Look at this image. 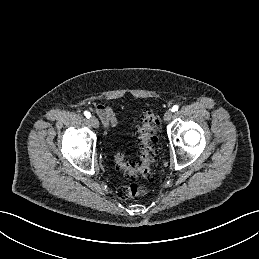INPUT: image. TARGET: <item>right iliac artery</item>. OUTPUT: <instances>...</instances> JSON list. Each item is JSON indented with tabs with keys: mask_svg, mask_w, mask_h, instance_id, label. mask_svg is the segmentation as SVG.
<instances>
[{
	"mask_svg": "<svg viewBox=\"0 0 259 259\" xmlns=\"http://www.w3.org/2000/svg\"><path fill=\"white\" fill-rule=\"evenodd\" d=\"M84 115H85L87 118H90V117H91V114H90V112H88V111H85V112H84Z\"/></svg>",
	"mask_w": 259,
	"mask_h": 259,
	"instance_id": "1",
	"label": "right iliac artery"
}]
</instances>
